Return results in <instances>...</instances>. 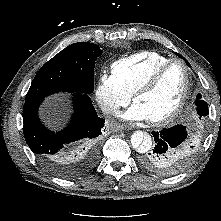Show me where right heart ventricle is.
Segmentation results:
<instances>
[{"instance_id": "right-heart-ventricle-1", "label": "right heart ventricle", "mask_w": 221, "mask_h": 221, "mask_svg": "<svg viewBox=\"0 0 221 221\" xmlns=\"http://www.w3.org/2000/svg\"><path fill=\"white\" fill-rule=\"evenodd\" d=\"M170 58L156 51H141L115 61L112 74L122 87L132 95L135 90Z\"/></svg>"}]
</instances>
